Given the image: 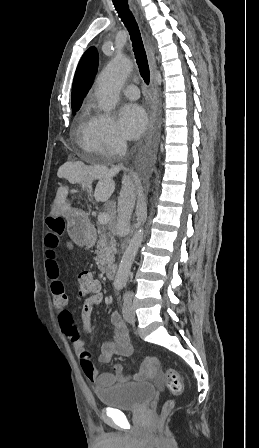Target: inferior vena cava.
I'll use <instances>...</instances> for the list:
<instances>
[{
  "mask_svg": "<svg viewBox=\"0 0 259 448\" xmlns=\"http://www.w3.org/2000/svg\"><path fill=\"white\" fill-rule=\"evenodd\" d=\"M117 150L120 156H125L127 152V142L125 140H119L117 142ZM120 166H116L113 168L112 172H119ZM123 188L120 192V196L118 198V216H117V224H116V232L117 234H123V232H129L130 228V218L133 212V208L135 206V184L129 176H124L123 180ZM132 294L127 292L124 296V308L127 306H131L132 304Z\"/></svg>",
  "mask_w": 259,
  "mask_h": 448,
  "instance_id": "1",
  "label": "inferior vena cava"
}]
</instances>
